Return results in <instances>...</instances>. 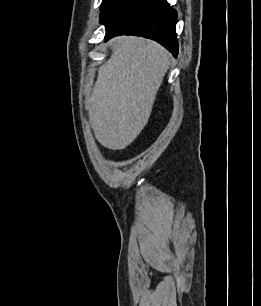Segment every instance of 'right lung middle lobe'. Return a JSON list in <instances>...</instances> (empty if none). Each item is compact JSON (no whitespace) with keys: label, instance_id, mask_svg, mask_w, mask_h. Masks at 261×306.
<instances>
[{"label":"right lung middle lobe","instance_id":"obj_1","mask_svg":"<svg viewBox=\"0 0 261 306\" xmlns=\"http://www.w3.org/2000/svg\"><path fill=\"white\" fill-rule=\"evenodd\" d=\"M112 0H103L101 4V11L111 2Z\"/></svg>","mask_w":261,"mask_h":306}]
</instances>
